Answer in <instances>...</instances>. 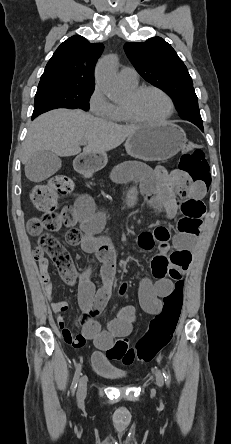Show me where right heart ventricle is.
I'll return each mask as SVG.
<instances>
[{"instance_id":"obj_1","label":"right heart ventricle","mask_w":231,"mask_h":444,"mask_svg":"<svg viewBox=\"0 0 231 444\" xmlns=\"http://www.w3.org/2000/svg\"><path fill=\"white\" fill-rule=\"evenodd\" d=\"M125 86L131 91L137 87V83L136 84H125ZM110 120L115 121V122H123V123L129 122V119L127 118V116L124 112L123 104L114 105V112H113V115L110 118Z\"/></svg>"}]
</instances>
